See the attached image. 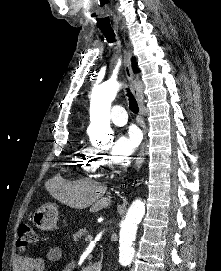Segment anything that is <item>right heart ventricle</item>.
Returning <instances> with one entry per match:
<instances>
[{"instance_id":"e07e8e85","label":"right heart ventricle","mask_w":221,"mask_h":271,"mask_svg":"<svg viewBox=\"0 0 221 271\" xmlns=\"http://www.w3.org/2000/svg\"><path fill=\"white\" fill-rule=\"evenodd\" d=\"M72 163H89V158H72ZM84 169H89L91 172L96 169V164H84Z\"/></svg>"}]
</instances>
